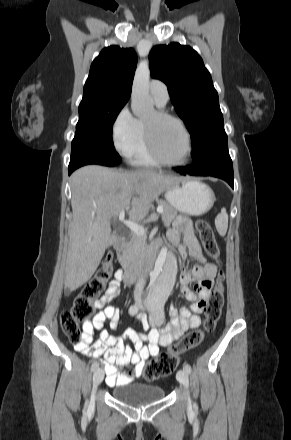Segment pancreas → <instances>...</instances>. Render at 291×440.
Segmentation results:
<instances>
[{"instance_id":"cf45deb5","label":"pancreas","mask_w":291,"mask_h":440,"mask_svg":"<svg viewBox=\"0 0 291 440\" xmlns=\"http://www.w3.org/2000/svg\"><path fill=\"white\" fill-rule=\"evenodd\" d=\"M160 205L164 208L162 213L163 223L168 227L178 215V211L166 201H160ZM145 245L146 236L132 233L130 239L124 242L119 248L121 254L118 256V260L120 264L123 267H128L130 264L137 263L140 260Z\"/></svg>"}]
</instances>
